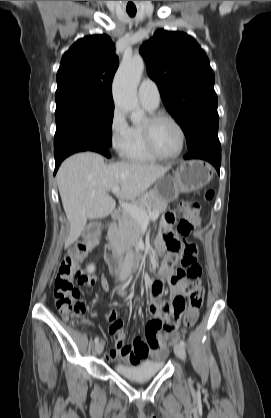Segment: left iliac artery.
<instances>
[{"instance_id":"44dca946","label":"left iliac artery","mask_w":271,"mask_h":418,"mask_svg":"<svg viewBox=\"0 0 271 418\" xmlns=\"http://www.w3.org/2000/svg\"><path fill=\"white\" fill-rule=\"evenodd\" d=\"M180 345H182L183 347H185L186 346L185 341L184 340H180Z\"/></svg>"}]
</instances>
